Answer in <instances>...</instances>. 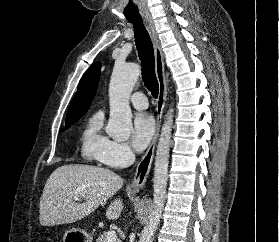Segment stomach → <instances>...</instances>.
<instances>
[{
	"label": "stomach",
	"instance_id": "1",
	"mask_svg": "<svg viewBox=\"0 0 279 242\" xmlns=\"http://www.w3.org/2000/svg\"><path fill=\"white\" fill-rule=\"evenodd\" d=\"M64 242H91V237L81 229H69L63 236Z\"/></svg>",
	"mask_w": 279,
	"mask_h": 242
}]
</instances>
